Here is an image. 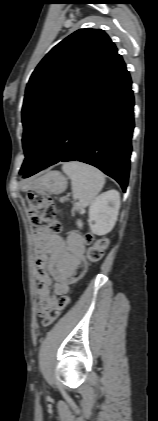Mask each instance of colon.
<instances>
[{
    "instance_id": "obj_1",
    "label": "colon",
    "mask_w": 158,
    "mask_h": 421,
    "mask_svg": "<svg viewBox=\"0 0 158 421\" xmlns=\"http://www.w3.org/2000/svg\"><path fill=\"white\" fill-rule=\"evenodd\" d=\"M28 205L31 213L32 225L37 232L41 231L45 224H48V230L52 233L61 231V224L56 219L57 210L53 199L50 195L42 190H33L28 193ZM87 243L90 245L87 257L91 262H97L102 259L107 247L105 238H94L87 235ZM70 297L67 295L60 296L54 307L48 308L42 313V323L44 326L52 325L61 315L63 310L68 306Z\"/></svg>"
}]
</instances>
